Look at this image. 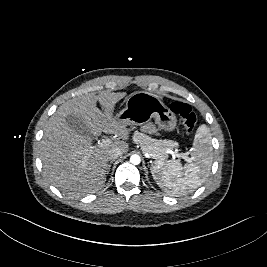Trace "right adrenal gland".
Returning a JSON list of instances; mask_svg holds the SVG:
<instances>
[{
  "label": "right adrenal gland",
  "instance_id": "2a0ac1e0",
  "mask_svg": "<svg viewBox=\"0 0 267 267\" xmlns=\"http://www.w3.org/2000/svg\"><path fill=\"white\" fill-rule=\"evenodd\" d=\"M113 162H114V160H111L110 163L108 164L107 169H106V174H108L110 172V168H111V165Z\"/></svg>",
  "mask_w": 267,
  "mask_h": 267
}]
</instances>
